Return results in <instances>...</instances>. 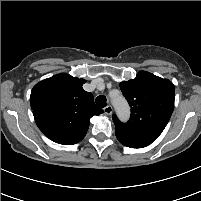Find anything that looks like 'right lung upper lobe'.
<instances>
[{"mask_svg": "<svg viewBox=\"0 0 201 201\" xmlns=\"http://www.w3.org/2000/svg\"><path fill=\"white\" fill-rule=\"evenodd\" d=\"M85 82L61 73L32 89L30 103L36 124L52 141L78 143L86 135L90 118L104 112L95 105L93 95L83 90Z\"/></svg>", "mask_w": 201, "mask_h": 201, "instance_id": "cb5924a9", "label": "right lung upper lobe"}]
</instances>
